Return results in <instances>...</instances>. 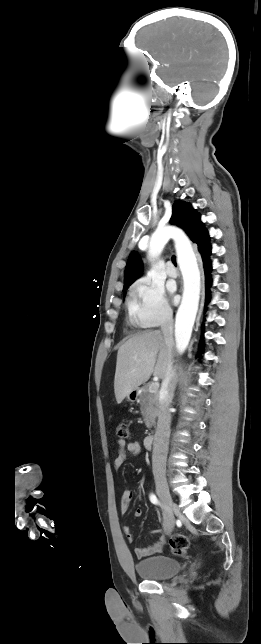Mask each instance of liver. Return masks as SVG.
<instances>
[{"instance_id":"1","label":"liver","mask_w":261,"mask_h":644,"mask_svg":"<svg viewBox=\"0 0 261 644\" xmlns=\"http://www.w3.org/2000/svg\"><path fill=\"white\" fill-rule=\"evenodd\" d=\"M171 354L172 348L158 330L136 334L121 345L114 379L117 403L147 382L152 374L164 379Z\"/></svg>"}]
</instances>
